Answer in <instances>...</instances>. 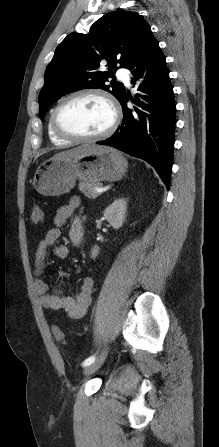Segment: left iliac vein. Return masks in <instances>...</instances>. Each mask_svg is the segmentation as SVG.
Listing matches in <instances>:
<instances>
[{"label": "left iliac vein", "mask_w": 219, "mask_h": 447, "mask_svg": "<svg viewBox=\"0 0 219 447\" xmlns=\"http://www.w3.org/2000/svg\"><path fill=\"white\" fill-rule=\"evenodd\" d=\"M107 354H108V348L106 347V348L102 351V353L100 354V356H99L94 362H92L91 364L87 365V366L84 368L83 373H84L85 375H91V374H93L94 372H96V371L101 367V365L104 363V361H105V359H106V357H107Z\"/></svg>", "instance_id": "4c4485c4"}]
</instances>
